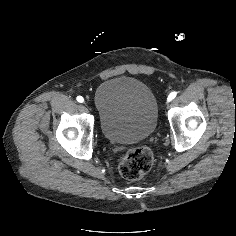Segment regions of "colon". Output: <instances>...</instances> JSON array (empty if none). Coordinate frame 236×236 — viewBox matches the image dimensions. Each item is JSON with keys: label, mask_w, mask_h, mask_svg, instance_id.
Here are the masks:
<instances>
[{"label": "colon", "mask_w": 236, "mask_h": 236, "mask_svg": "<svg viewBox=\"0 0 236 236\" xmlns=\"http://www.w3.org/2000/svg\"><path fill=\"white\" fill-rule=\"evenodd\" d=\"M153 153L146 146H139L129 150L119 164L120 174L127 180L141 179L152 167Z\"/></svg>", "instance_id": "colon-1"}]
</instances>
